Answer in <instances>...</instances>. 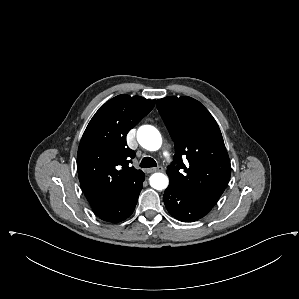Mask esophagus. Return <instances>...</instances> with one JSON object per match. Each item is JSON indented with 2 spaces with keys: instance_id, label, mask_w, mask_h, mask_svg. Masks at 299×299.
Listing matches in <instances>:
<instances>
[{
  "instance_id": "obj_1",
  "label": "esophagus",
  "mask_w": 299,
  "mask_h": 299,
  "mask_svg": "<svg viewBox=\"0 0 299 299\" xmlns=\"http://www.w3.org/2000/svg\"><path fill=\"white\" fill-rule=\"evenodd\" d=\"M158 171H163V167L162 166H158L156 168H148V169H146L147 173H153V172H158Z\"/></svg>"
}]
</instances>
